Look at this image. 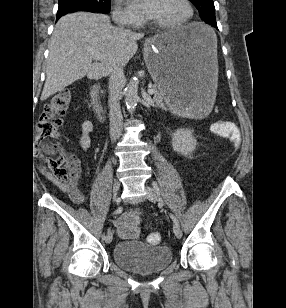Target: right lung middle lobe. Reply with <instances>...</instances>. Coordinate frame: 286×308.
I'll use <instances>...</instances> for the list:
<instances>
[{"label": "right lung middle lobe", "mask_w": 286, "mask_h": 308, "mask_svg": "<svg viewBox=\"0 0 286 308\" xmlns=\"http://www.w3.org/2000/svg\"><path fill=\"white\" fill-rule=\"evenodd\" d=\"M58 1H59L58 11L93 8V9H100L105 12H109L110 2H111V0H58Z\"/></svg>", "instance_id": "1"}]
</instances>
